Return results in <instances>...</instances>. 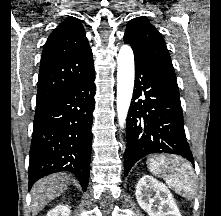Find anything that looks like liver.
I'll list each match as a JSON object with an SVG mask.
<instances>
[{
	"mask_svg": "<svg viewBox=\"0 0 221 216\" xmlns=\"http://www.w3.org/2000/svg\"><path fill=\"white\" fill-rule=\"evenodd\" d=\"M69 180L65 173L52 174L38 180L31 189L33 214L39 213L50 201L64 193Z\"/></svg>",
	"mask_w": 221,
	"mask_h": 216,
	"instance_id": "liver-1",
	"label": "liver"
}]
</instances>
